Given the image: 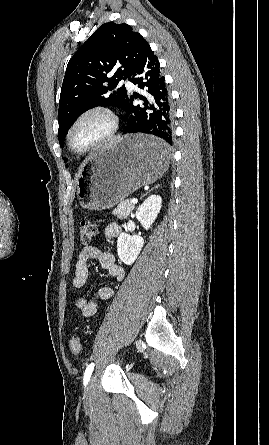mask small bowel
Segmentation results:
<instances>
[{
    "label": "small bowel",
    "instance_id": "obj_1",
    "mask_svg": "<svg viewBox=\"0 0 269 445\" xmlns=\"http://www.w3.org/2000/svg\"><path fill=\"white\" fill-rule=\"evenodd\" d=\"M121 234V227L116 222H110L105 228V237L108 240L117 238ZM97 261L107 273L120 281L124 278V269L116 262L115 256L110 251H101L95 246H86L78 253L72 285L75 289H81L87 283L89 277V263ZM114 291L111 287L103 286L99 288L95 297L91 300L84 296L75 299V307L81 312L84 318L92 317L98 309V301H109L112 299Z\"/></svg>",
    "mask_w": 269,
    "mask_h": 445
}]
</instances>
